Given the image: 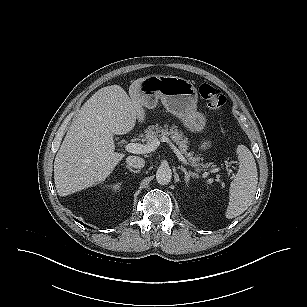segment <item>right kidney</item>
Listing matches in <instances>:
<instances>
[{"label": "right kidney", "instance_id": "ca27d5eb", "mask_svg": "<svg viewBox=\"0 0 307 307\" xmlns=\"http://www.w3.org/2000/svg\"><path fill=\"white\" fill-rule=\"evenodd\" d=\"M121 183H116L110 186V188L114 191H117L120 189Z\"/></svg>", "mask_w": 307, "mask_h": 307}]
</instances>
